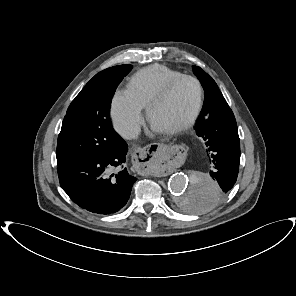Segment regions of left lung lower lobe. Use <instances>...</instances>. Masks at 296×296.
<instances>
[{
  "label": "left lung lower lobe",
  "instance_id": "left-lung-lower-lobe-1",
  "mask_svg": "<svg viewBox=\"0 0 296 296\" xmlns=\"http://www.w3.org/2000/svg\"><path fill=\"white\" fill-rule=\"evenodd\" d=\"M198 136L205 142L206 154L213 167L212 179L219 187H193L184 207L207 209L222 200L234 186L240 162V139L234 114L226 100L212 109L198 126Z\"/></svg>",
  "mask_w": 296,
  "mask_h": 296
}]
</instances>
